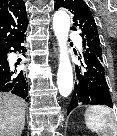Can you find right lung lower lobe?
<instances>
[{"instance_id":"right-lung-lower-lobe-1","label":"right lung lower lobe","mask_w":117,"mask_h":136,"mask_svg":"<svg viewBox=\"0 0 117 136\" xmlns=\"http://www.w3.org/2000/svg\"><path fill=\"white\" fill-rule=\"evenodd\" d=\"M26 28L10 42L4 51L0 52V92H11L28 101L27 78L23 70L17 68L20 61L14 65L7 59L8 53L24 51L21 44L24 43Z\"/></svg>"}]
</instances>
